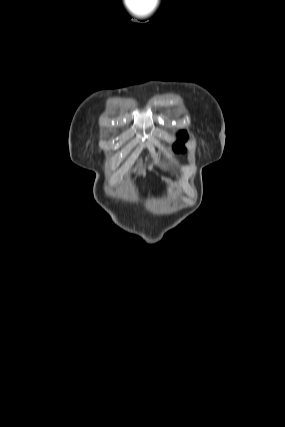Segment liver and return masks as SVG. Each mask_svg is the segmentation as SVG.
Listing matches in <instances>:
<instances>
[{
	"instance_id": "obj_1",
	"label": "liver",
	"mask_w": 285,
	"mask_h": 427,
	"mask_svg": "<svg viewBox=\"0 0 285 427\" xmlns=\"http://www.w3.org/2000/svg\"><path fill=\"white\" fill-rule=\"evenodd\" d=\"M169 194H172V188L168 189Z\"/></svg>"
}]
</instances>
